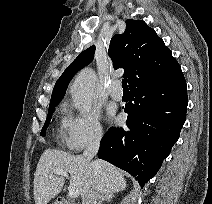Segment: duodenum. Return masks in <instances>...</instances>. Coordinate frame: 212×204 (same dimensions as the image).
Returning <instances> with one entry per match:
<instances>
[{"mask_svg": "<svg viewBox=\"0 0 212 204\" xmlns=\"http://www.w3.org/2000/svg\"><path fill=\"white\" fill-rule=\"evenodd\" d=\"M58 204H74V203H71V202H69L68 200H66L64 198H60L58 200Z\"/></svg>", "mask_w": 212, "mask_h": 204, "instance_id": "410a0bca", "label": "duodenum"}]
</instances>
